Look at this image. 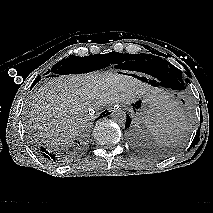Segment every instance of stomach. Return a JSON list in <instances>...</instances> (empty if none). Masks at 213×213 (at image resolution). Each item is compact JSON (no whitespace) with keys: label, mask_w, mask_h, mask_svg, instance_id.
Returning <instances> with one entry per match:
<instances>
[{"label":"stomach","mask_w":213,"mask_h":213,"mask_svg":"<svg viewBox=\"0 0 213 213\" xmlns=\"http://www.w3.org/2000/svg\"><path fill=\"white\" fill-rule=\"evenodd\" d=\"M164 108L156 106L150 100L139 99L129 105V111L137 122H143L146 125L154 122L157 114Z\"/></svg>","instance_id":"stomach-1"}]
</instances>
